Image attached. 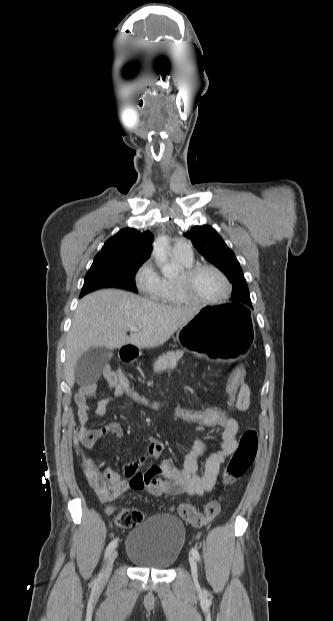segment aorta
<instances>
[{"label": "aorta", "mask_w": 333, "mask_h": 621, "mask_svg": "<svg viewBox=\"0 0 333 621\" xmlns=\"http://www.w3.org/2000/svg\"><path fill=\"white\" fill-rule=\"evenodd\" d=\"M167 244L168 241L166 237L163 236L157 238L153 243V254L160 263H164L167 260ZM162 271L165 276H170L174 274L176 270L169 266H164Z\"/></svg>", "instance_id": "obj_1"}]
</instances>
